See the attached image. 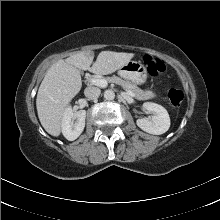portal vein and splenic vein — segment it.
I'll return each mask as SVG.
<instances>
[{
  "label": "portal vein and splenic vein",
  "mask_w": 220,
  "mask_h": 220,
  "mask_svg": "<svg viewBox=\"0 0 220 220\" xmlns=\"http://www.w3.org/2000/svg\"><path fill=\"white\" fill-rule=\"evenodd\" d=\"M90 82L93 84V85H96V86H99V87H106L108 85V82L106 79H97V78H92L90 80ZM127 91V90H126ZM127 93L130 95V96H135L134 93H132L131 91H127Z\"/></svg>",
  "instance_id": "portal-vein-and-splenic-vein-1"
}]
</instances>
